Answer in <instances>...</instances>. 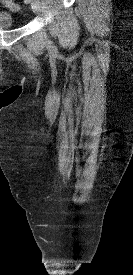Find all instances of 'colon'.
Instances as JSON below:
<instances>
[{"label":"colon","instance_id":"obj_1","mask_svg":"<svg viewBox=\"0 0 133 275\" xmlns=\"http://www.w3.org/2000/svg\"><path fill=\"white\" fill-rule=\"evenodd\" d=\"M11 9H12V10H16V9H17V6H16L15 4H12V5H11Z\"/></svg>","mask_w":133,"mask_h":275}]
</instances>
